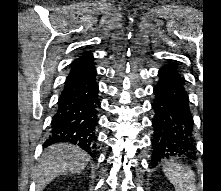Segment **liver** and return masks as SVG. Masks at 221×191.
<instances>
[{
	"mask_svg": "<svg viewBox=\"0 0 221 191\" xmlns=\"http://www.w3.org/2000/svg\"><path fill=\"white\" fill-rule=\"evenodd\" d=\"M89 160L86 152L71 144L49 147L35 172L37 191H42L60 175L81 172Z\"/></svg>",
	"mask_w": 221,
	"mask_h": 191,
	"instance_id": "obj_1",
	"label": "liver"
}]
</instances>
